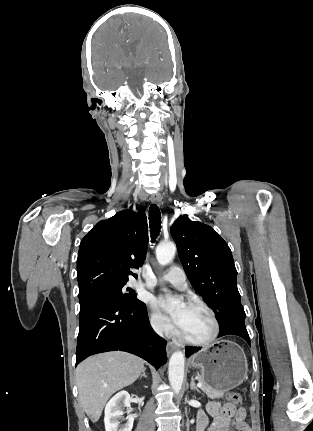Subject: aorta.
I'll list each match as a JSON object with an SVG mask.
<instances>
[{"label": "aorta", "mask_w": 313, "mask_h": 431, "mask_svg": "<svg viewBox=\"0 0 313 431\" xmlns=\"http://www.w3.org/2000/svg\"><path fill=\"white\" fill-rule=\"evenodd\" d=\"M176 252V246L173 243L159 245L156 249V258L160 265L164 266L170 263ZM168 310L174 309L176 302L169 298ZM185 357L182 351H175L169 360V382L172 390L178 394L181 390L184 378Z\"/></svg>", "instance_id": "1"}]
</instances>
